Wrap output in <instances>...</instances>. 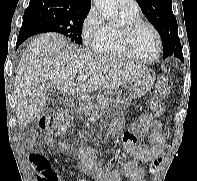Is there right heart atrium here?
<instances>
[{"label":"right heart atrium","instance_id":"obj_1","mask_svg":"<svg viewBox=\"0 0 197 181\" xmlns=\"http://www.w3.org/2000/svg\"><path fill=\"white\" fill-rule=\"evenodd\" d=\"M107 25L95 7H91L81 25V36L85 45L96 48L102 41Z\"/></svg>","mask_w":197,"mask_h":181}]
</instances>
